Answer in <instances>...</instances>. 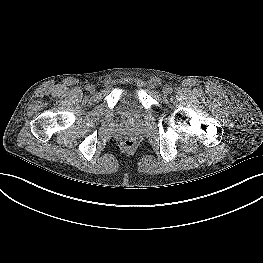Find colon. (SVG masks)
I'll use <instances>...</instances> for the list:
<instances>
[{"instance_id": "1", "label": "colon", "mask_w": 263, "mask_h": 263, "mask_svg": "<svg viewBox=\"0 0 263 263\" xmlns=\"http://www.w3.org/2000/svg\"><path fill=\"white\" fill-rule=\"evenodd\" d=\"M133 145H134V142L132 140H129V139H127L123 142V146H125V147H131Z\"/></svg>"}]
</instances>
